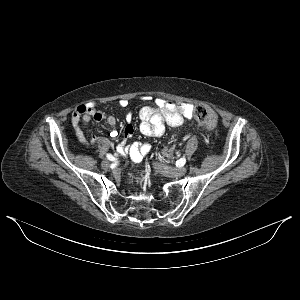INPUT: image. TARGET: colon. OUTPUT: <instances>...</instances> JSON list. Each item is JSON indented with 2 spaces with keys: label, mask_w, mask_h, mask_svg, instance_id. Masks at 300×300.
I'll return each mask as SVG.
<instances>
[{
  "label": "colon",
  "mask_w": 300,
  "mask_h": 300,
  "mask_svg": "<svg viewBox=\"0 0 300 300\" xmlns=\"http://www.w3.org/2000/svg\"><path fill=\"white\" fill-rule=\"evenodd\" d=\"M193 115L196 121L208 128L214 129L218 122L217 114L207 105L199 103L195 106L193 110Z\"/></svg>",
  "instance_id": "5ec220e1"
}]
</instances>
